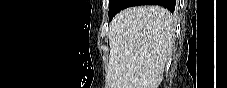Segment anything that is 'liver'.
Listing matches in <instances>:
<instances>
[{
    "label": "liver",
    "instance_id": "liver-1",
    "mask_svg": "<svg viewBox=\"0 0 227 88\" xmlns=\"http://www.w3.org/2000/svg\"><path fill=\"white\" fill-rule=\"evenodd\" d=\"M174 20L159 6L119 12L109 25L107 88H158L172 53Z\"/></svg>",
    "mask_w": 227,
    "mask_h": 88
}]
</instances>
